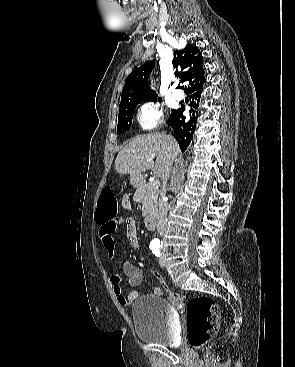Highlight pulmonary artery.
<instances>
[{
  "mask_svg": "<svg viewBox=\"0 0 295 367\" xmlns=\"http://www.w3.org/2000/svg\"><path fill=\"white\" fill-rule=\"evenodd\" d=\"M172 96L176 100H182L184 98V93L180 90H175L173 91Z\"/></svg>",
  "mask_w": 295,
  "mask_h": 367,
  "instance_id": "1",
  "label": "pulmonary artery"
}]
</instances>
